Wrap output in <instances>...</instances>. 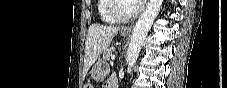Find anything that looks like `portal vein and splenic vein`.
I'll return each instance as SVG.
<instances>
[{
	"mask_svg": "<svg viewBox=\"0 0 227 88\" xmlns=\"http://www.w3.org/2000/svg\"><path fill=\"white\" fill-rule=\"evenodd\" d=\"M115 58H116L115 55H112V56H111V59H112V60H115Z\"/></svg>",
	"mask_w": 227,
	"mask_h": 88,
	"instance_id": "obj_1",
	"label": "portal vein and splenic vein"
}]
</instances>
